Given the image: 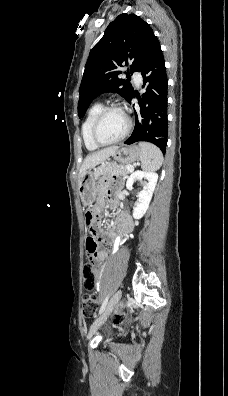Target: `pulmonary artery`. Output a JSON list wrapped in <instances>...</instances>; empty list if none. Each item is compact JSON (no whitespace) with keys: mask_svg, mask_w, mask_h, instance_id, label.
I'll list each match as a JSON object with an SVG mask.
<instances>
[{"mask_svg":"<svg viewBox=\"0 0 228 396\" xmlns=\"http://www.w3.org/2000/svg\"><path fill=\"white\" fill-rule=\"evenodd\" d=\"M133 78L135 80L136 85L139 86L140 83H141V75H140V73L134 72L133 73Z\"/></svg>","mask_w":228,"mask_h":396,"instance_id":"pulmonary-artery-1","label":"pulmonary artery"}]
</instances>
